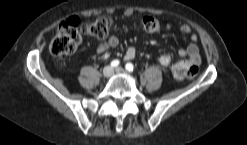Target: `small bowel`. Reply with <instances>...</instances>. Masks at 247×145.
<instances>
[{
  "label": "small bowel",
  "mask_w": 247,
  "mask_h": 145,
  "mask_svg": "<svg viewBox=\"0 0 247 145\" xmlns=\"http://www.w3.org/2000/svg\"><path fill=\"white\" fill-rule=\"evenodd\" d=\"M181 31L188 35L190 43L186 48H181L178 50V55L180 57H186V59L181 60L172 65V70L174 71L176 68L183 69L185 71L189 70L190 68H197L201 62L199 49L197 46V36L192 33L190 27L188 25H182ZM119 44V39L116 36H110L105 41L101 42L97 47L98 54H104L109 49L117 47ZM136 56V49L134 46H130L127 48L124 59L125 60H132ZM163 58H168L171 64V58L168 55H163L160 57V63L163 66H169L162 62Z\"/></svg>",
  "instance_id": "c3829d8e"
}]
</instances>
